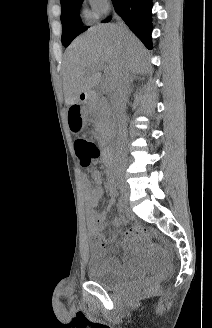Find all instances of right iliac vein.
Here are the masks:
<instances>
[{"instance_id": "63e3f726", "label": "right iliac vein", "mask_w": 212, "mask_h": 328, "mask_svg": "<svg viewBox=\"0 0 212 328\" xmlns=\"http://www.w3.org/2000/svg\"><path fill=\"white\" fill-rule=\"evenodd\" d=\"M119 188L121 190L122 196L125 198V200H128L129 197V188L125 183H120Z\"/></svg>"}]
</instances>
